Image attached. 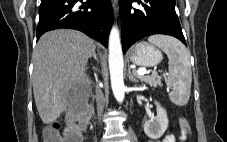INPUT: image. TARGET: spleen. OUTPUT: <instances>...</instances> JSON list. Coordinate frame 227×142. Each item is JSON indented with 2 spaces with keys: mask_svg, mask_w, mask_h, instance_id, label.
I'll return each mask as SVG.
<instances>
[{
  "mask_svg": "<svg viewBox=\"0 0 227 142\" xmlns=\"http://www.w3.org/2000/svg\"><path fill=\"white\" fill-rule=\"evenodd\" d=\"M148 41L161 48L168 56V83L173 88L169 93L170 100L179 106L186 105L192 82L189 51L176 38L167 35H152Z\"/></svg>",
  "mask_w": 227,
  "mask_h": 142,
  "instance_id": "3e777b00",
  "label": "spleen"
}]
</instances>
